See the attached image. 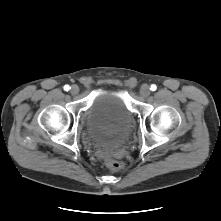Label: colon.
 I'll return each mask as SVG.
<instances>
[{
    "instance_id": "obj_1",
    "label": "colon",
    "mask_w": 221,
    "mask_h": 221,
    "mask_svg": "<svg viewBox=\"0 0 221 221\" xmlns=\"http://www.w3.org/2000/svg\"><path fill=\"white\" fill-rule=\"evenodd\" d=\"M106 165L113 171H121L124 168V164L121 161L112 158L106 160Z\"/></svg>"
}]
</instances>
